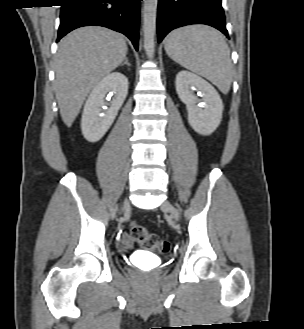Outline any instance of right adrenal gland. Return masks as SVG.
<instances>
[{
	"instance_id": "2a0ac1e0",
	"label": "right adrenal gland",
	"mask_w": 304,
	"mask_h": 329,
	"mask_svg": "<svg viewBox=\"0 0 304 329\" xmlns=\"http://www.w3.org/2000/svg\"><path fill=\"white\" fill-rule=\"evenodd\" d=\"M124 65L130 66V63L128 62L127 57L125 58L124 62L122 64H120V66H124Z\"/></svg>"
}]
</instances>
